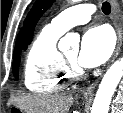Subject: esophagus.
Instances as JSON below:
<instances>
[{
	"mask_svg": "<svg viewBox=\"0 0 123 113\" xmlns=\"http://www.w3.org/2000/svg\"><path fill=\"white\" fill-rule=\"evenodd\" d=\"M111 6H112V20L113 25L115 28V31L117 33V44L114 51V55L112 58V62L115 60V58L118 56L121 45H122V27H121V21H120V7L117 0H110ZM98 84V80H96L94 83H92L90 86H88L86 89L83 90V95L85 96H91L93 95V92Z\"/></svg>",
	"mask_w": 123,
	"mask_h": 113,
	"instance_id": "esophagus-1",
	"label": "esophagus"
}]
</instances>
